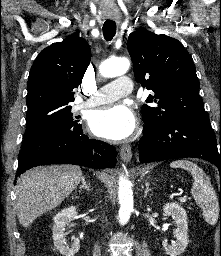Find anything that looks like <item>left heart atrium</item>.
Masks as SVG:
<instances>
[{"instance_id": "39dd6f15", "label": "left heart atrium", "mask_w": 221, "mask_h": 256, "mask_svg": "<svg viewBox=\"0 0 221 256\" xmlns=\"http://www.w3.org/2000/svg\"><path fill=\"white\" fill-rule=\"evenodd\" d=\"M89 126L96 136L122 140L134 132L136 118L126 104H113L94 111L89 119Z\"/></svg>"}]
</instances>
